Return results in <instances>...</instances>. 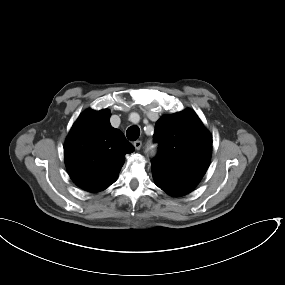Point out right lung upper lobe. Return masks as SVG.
I'll list each match as a JSON object with an SVG mask.
<instances>
[{
    "label": "right lung upper lobe",
    "mask_w": 285,
    "mask_h": 285,
    "mask_svg": "<svg viewBox=\"0 0 285 285\" xmlns=\"http://www.w3.org/2000/svg\"><path fill=\"white\" fill-rule=\"evenodd\" d=\"M110 112L86 110L64 144L66 168L73 182L88 192H99L118 177L125 154L134 147L124 134L111 126Z\"/></svg>",
    "instance_id": "cb5924a9"
}]
</instances>
